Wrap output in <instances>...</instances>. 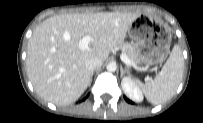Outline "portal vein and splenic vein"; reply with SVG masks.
I'll use <instances>...</instances> for the list:
<instances>
[{
  "mask_svg": "<svg viewBox=\"0 0 203 123\" xmlns=\"http://www.w3.org/2000/svg\"><path fill=\"white\" fill-rule=\"evenodd\" d=\"M93 40V38L89 35H86L84 36L80 41H79V48L82 49V50H85L88 48L90 42ZM120 58L121 60L127 64V65H131V62L130 60L124 55V54H121L120 55ZM149 79V78H147Z\"/></svg>",
  "mask_w": 203,
  "mask_h": 123,
  "instance_id": "18ae733b",
  "label": "portal vein and splenic vein"
}]
</instances>
